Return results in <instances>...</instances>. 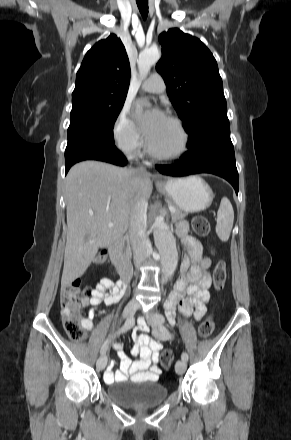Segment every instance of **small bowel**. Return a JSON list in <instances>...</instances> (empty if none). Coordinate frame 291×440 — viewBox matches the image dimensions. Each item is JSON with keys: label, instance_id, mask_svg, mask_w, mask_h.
<instances>
[{"label": "small bowel", "instance_id": "small-bowel-1", "mask_svg": "<svg viewBox=\"0 0 291 440\" xmlns=\"http://www.w3.org/2000/svg\"><path fill=\"white\" fill-rule=\"evenodd\" d=\"M177 235L185 246L186 253L181 265V276L175 282L174 288L165 302V311L168 318L174 321L177 306L186 316H192L200 320L206 313V303L209 301V288L211 276L208 269L211 260L204 256L202 244L198 239L188 235V227L185 223L177 226ZM126 291V285L120 281L103 279L96 284L91 298L92 307L88 314L80 317L81 326L88 330H94L93 319L102 306H110L119 301ZM145 329V326H144ZM135 344L131 350L133 356L140 359L132 362L129 357L119 351L120 362H111L104 374L107 382H119L131 377L134 380H155L162 372L158 366L159 353L162 344L151 340L146 334L133 333ZM120 350L119 343H114Z\"/></svg>", "mask_w": 291, "mask_h": 440}]
</instances>
